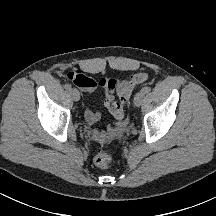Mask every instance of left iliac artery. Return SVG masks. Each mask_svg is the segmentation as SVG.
Here are the masks:
<instances>
[{"mask_svg": "<svg viewBox=\"0 0 216 216\" xmlns=\"http://www.w3.org/2000/svg\"><path fill=\"white\" fill-rule=\"evenodd\" d=\"M141 91H142L144 94H147V93H149V92L151 91V88H150L149 86H146V87L142 88Z\"/></svg>", "mask_w": 216, "mask_h": 216, "instance_id": "left-iliac-artery-1", "label": "left iliac artery"}]
</instances>
